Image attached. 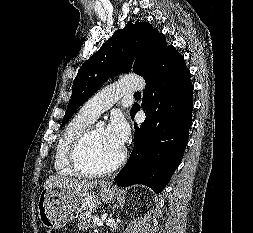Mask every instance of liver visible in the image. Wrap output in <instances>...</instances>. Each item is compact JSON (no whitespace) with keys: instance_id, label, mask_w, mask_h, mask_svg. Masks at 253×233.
<instances>
[{"instance_id":"liver-1","label":"liver","mask_w":253,"mask_h":233,"mask_svg":"<svg viewBox=\"0 0 253 233\" xmlns=\"http://www.w3.org/2000/svg\"><path fill=\"white\" fill-rule=\"evenodd\" d=\"M97 184L98 182H85V181H79V180L68 178V177L53 175V176H49L46 179L44 183V188L45 187H63L75 193H84L93 189Z\"/></svg>"}]
</instances>
